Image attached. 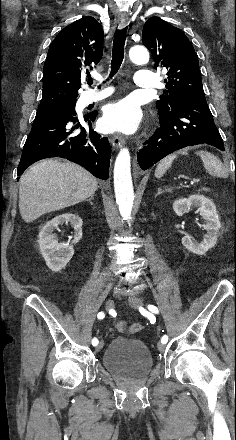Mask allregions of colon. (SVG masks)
Here are the masks:
<instances>
[{
    "label": "colon",
    "mask_w": 236,
    "mask_h": 440,
    "mask_svg": "<svg viewBox=\"0 0 236 440\" xmlns=\"http://www.w3.org/2000/svg\"><path fill=\"white\" fill-rule=\"evenodd\" d=\"M128 334H137L143 330V326L139 323H134L123 329Z\"/></svg>",
    "instance_id": "5ec220e1"
}]
</instances>
